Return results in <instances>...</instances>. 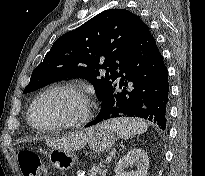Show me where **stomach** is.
Segmentation results:
<instances>
[{"mask_svg": "<svg viewBox=\"0 0 205 176\" xmlns=\"http://www.w3.org/2000/svg\"><path fill=\"white\" fill-rule=\"evenodd\" d=\"M116 141L114 132L102 125L91 128V135L88 141L89 147L95 153H103L112 148ZM49 161L53 167L59 170H69L76 163V156L72 151L53 148L49 153Z\"/></svg>", "mask_w": 205, "mask_h": 176, "instance_id": "obj_1", "label": "stomach"}]
</instances>
